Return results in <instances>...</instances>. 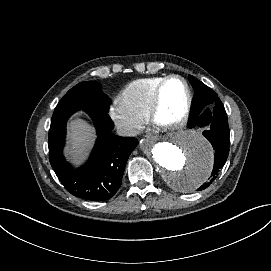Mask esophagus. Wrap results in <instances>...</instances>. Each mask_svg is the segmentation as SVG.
<instances>
[{
    "label": "esophagus",
    "mask_w": 271,
    "mask_h": 271,
    "mask_svg": "<svg viewBox=\"0 0 271 271\" xmlns=\"http://www.w3.org/2000/svg\"><path fill=\"white\" fill-rule=\"evenodd\" d=\"M146 138L149 139L152 142H155L158 139V135L155 132H148L146 134Z\"/></svg>",
    "instance_id": "34e87169"
}]
</instances>
